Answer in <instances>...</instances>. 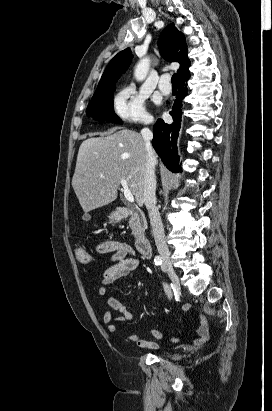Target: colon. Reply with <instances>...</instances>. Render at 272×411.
Segmentation results:
<instances>
[{
    "mask_svg": "<svg viewBox=\"0 0 272 411\" xmlns=\"http://www.w3.org/2000/svg\"><path fill=\"white\" fill-rule=\"evenodd\" d=\"M75 257L79 263L84 265H88L92 261L90 254L82 247L76 248Z\"/></svg>",
    "mask_w": 272,
    "mask_h": 411,
    "instance_id": "obj_1",
    "label": "colon"
}]
</instances>
